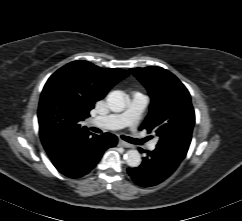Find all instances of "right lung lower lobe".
Segmentation results:
<instances>
[{"instance_id":"1","label":"right lung lower lobe","mask_w":242,"mask_h":221,"mask_svg":"<svg viewBox=\"0 0 242 221\" xmlns=\"http://www.w3.org/2000/svg\"><path fill=\"white\" fill-rule=\"evenodd\" d=\"M90 134L77 136L62 150L49 156L59 172L70 178L82 177L96 166L106 149L117 144V137L113 134Z\"/></svg>"}]
</instances>
